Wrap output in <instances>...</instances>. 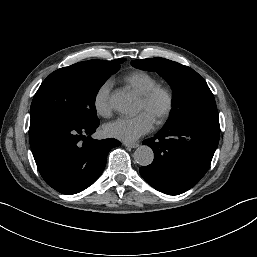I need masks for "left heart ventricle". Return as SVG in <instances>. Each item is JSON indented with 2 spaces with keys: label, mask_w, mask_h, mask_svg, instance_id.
<instances>
[{
  "label": "left heart ventricle",
  "mask_w": 257,
  "mask_h": 257,
  "mask_svg": "<svg viewBox=\"0 0 257 257\" xmlns=\"http://www.w3.org/2000/svg\"><path fill=\"white\" fill-rule=\"evenodd\" d=\"M165 108V99L163 97H158L154 102L151 104H144L141 100L138 104V112H146L149 114L155 121L162 113Z\"/></svg>",
  "instance_id": "left-heart-ventricle-1"
}]
</instances>
